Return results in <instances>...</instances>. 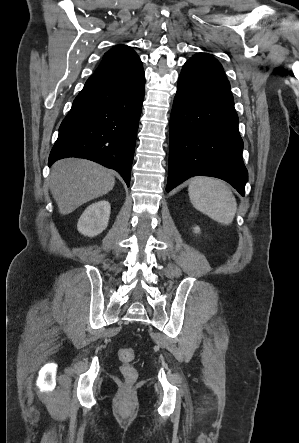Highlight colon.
Masks as SVG:
<instances>
[{
	"label": "colon",
	"mask_w": 299,
	"mask_h": 443,
	"mask_svg": "<svg viewBox=\"0 0 299 443\" xmlns=\"http://www.w3.org/2000/svg\"><path fill=\"white\" fill-rule=\"evenodd\" d=\"M118 356L122 364L120 368L122 375L128 382H134L138 376V373L132 364L135 357L134 350L128 347L121 348Z\"/></svg>",
	"instance_id": "colon-1"
}]
</instances>
